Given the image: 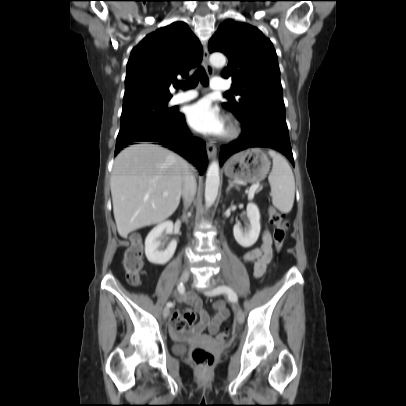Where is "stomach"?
Returning <instances> with one entry per match:
<instances>
[{
    "label": "stomach",
    "instance_id": "0dacf381",
    "mask_svg": "<svg viewBox=\"0 0 406 406\" xmlns=\"http://www.w3.org/2000/svg\"><path fill=\"white\" fill-rule=\"evenodd\" d=\"M271 162L260 148H250L233 155L225 164V175L249 183L262 181L267 176Z\"/></svg>",
    "mask_w": 406,
    "mask_h": 406
}]
</instances>
